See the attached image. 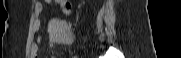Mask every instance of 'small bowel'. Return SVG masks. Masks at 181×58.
<instances>
[{"label":"small bowel","instance_id":"obj_1","mask_svg":"<svg viewBox=\"0 0 181 58\" xmlns=\"http://www.w3.org/2000/svg\"><path fill=\"white\" fill-rule=\"evenodd\" d=\"M47 2H51V0H46ZM54 3L65 13L68 14L71 12V3L67 0H55ZM43 5L40 1L36 2L35 4V13L36 15H39L42 12ZM39 29V24L36 25V30ZM64 43H70L71 42V35L67 34L65 35L63 39ZM38 52H39V46L36 43H33L31 46V56L32 58H38Z\"/></svg>","mask_w":181,"mask_h":58}]
</instances>
